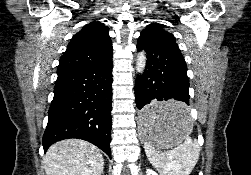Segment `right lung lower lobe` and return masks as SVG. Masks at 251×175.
I'll return each mask as SVG.
<instances>
[{
	"label": "right lung lower lobe",
	"mask_w": 251,
	"mask_h": 175,
	"mask_svg": "<svg viewBox=\"0 0 251 175\" xmlns=\"http://www.w3.org/2000/svg\"><path fill=\"white\" fill-rule=\"evenodd\" d=\"M112 56L102 64L57 72L43 135L44 152L59 140L83 139L110 158Z\"/></svg>",
	"instance_id": "1"
}]
</instances>
